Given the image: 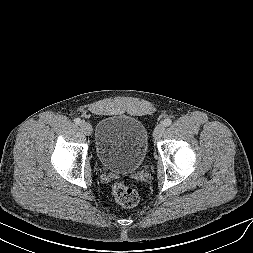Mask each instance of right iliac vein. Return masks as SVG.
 Segmentation results:
<instances>
[{"label": "right iliac vein", "mask_w": 253, "mask_h": 253, "mask_svg": "<svg viewBox=\"0 0 253 253\" xmlns=\"http://www.w3.org/2000/svg\"><path fill=\"white\" fill-rule=\"evenodd\" d=\"M80 127L85 135H90L92 133V126L89 123L82 122Z\"/></svg>", "instance_id": "1"}]
</instances>
